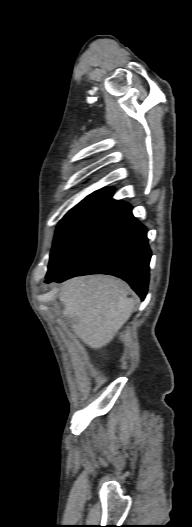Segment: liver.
Masks as SVG:
<instances>
[{
  "label": "liver",
  "mask_w": 192,
  "mask_h": 527,
  "mask_svg": "<svg viewBox=\"0 0 192 527\" xmlns=\"http://www.w3.org/2000/svg\"><path fill=\"white\" fill-rule=\"evenodd\" d=\"M129 286L109 276L75 277L65 281L59 293L63 316L75 320L71 327L89 347L100 349L112 341L130 318L134 300Z\"/></svg>",
  "instance_id": "obj_1"
}]
</instances>
